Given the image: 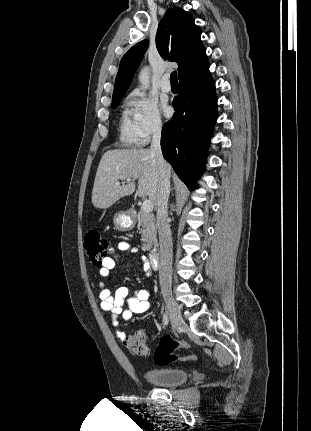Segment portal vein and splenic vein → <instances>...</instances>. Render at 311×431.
<instances>
[{
	"instance_id": "1",
	"label": "portal vein and splenic vein",
	"mask_w": 311,
	"mask_h": 431,
	"mask_svg": "<svg viewBox=\"0 0 311 431\" xmlns=\"http://www.w3.org/2000/svg\"><path fill=\"white\" fill-rule=\"evenodd\" d=\"M126 182H130V180H126ZM116 184H119V186H120L121 182H116ZM142 210H144V212H148V214H150V212H152V210H153L152 202H150V200H143Z\"/></svg>"
}]
</instances>
